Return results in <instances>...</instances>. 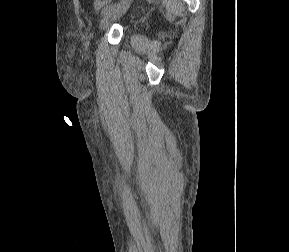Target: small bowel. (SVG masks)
<instances>
[{
	"label": "small bowel",
	"mask_w": 289,
	"mask_h": 252,
	"mask_svg": "<svg viewBox=\"0 0 289 252\" xmlns=\"http://www.w3.org/2000/svg\"><path fill=\"white\" fill-rule=\"evenodd\" d=\"M110 2H111V0H94L93 10L99 11L102 8H105V6L108 5Z\"/></svg>",
	"instance_id": "c3829d8e"
}]
</instances>
